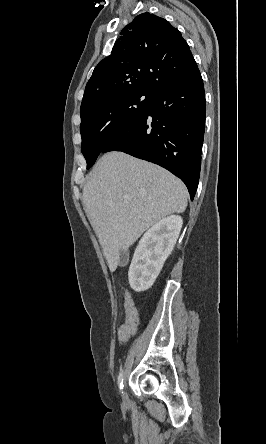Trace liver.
<instances>
[{"label":"liver","instance_id":"6515ba94","mask_svg":"<svg viewBox=\"0 0 266 444\" xmlns=\"http://www.w3.org/2000/svg\"><path fill=\"white\" fill-rule=\"evenodd\" d=\"M187 197L182 181L164 168L123 152L104 154L83 188V205L110 271L144 231L183 213Z\"/></svg>","mask_w":266,"mask_h":444}]
</instances>
